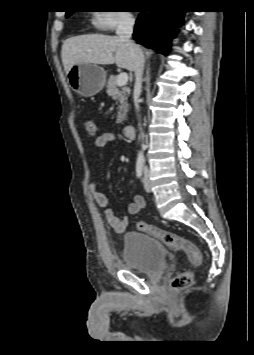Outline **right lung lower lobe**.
<instances>
[{"label": "right lung lower lobe", "mask_w": 254, "mask_h": 355, "mask_svg": "<svg viewBox=\"0 0 254 355\" xmlns=\"http://www.w3.org/2000/svg\"><path fill=\"white\" fill-rule=\"evenodd\" d=\"M183 11L176 9H157L140 13L136 20L134 39L151 49L168 54L171 40L178 33L184 18Z\"/></svg>", "instance_id": "1"}]
</instances>
